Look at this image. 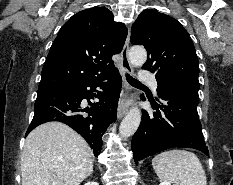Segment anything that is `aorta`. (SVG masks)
I'll return each instance as SVG.
<instances>
[{
	"instance_id": "762f6f07",
	"label": "aorta",
	"mask_w": 233,
	"mask_h": 185,
	"mask_svg": "<svg viewBox=\"0 0 233 185\" xmlns=\"http://www.w3.org/2000/svg\"><path fill=\"white\" fill-rule=\"evenodd\" d=\"M147 59V52L142 46H133L129 50V60L135 67H141ZM141 122V111L133 107L122 120L119 127V134L123 138L132 136L138 129Z\"/></svg>"
}]
</instances>
